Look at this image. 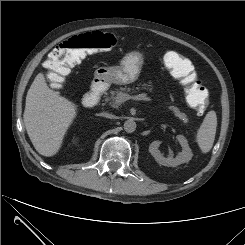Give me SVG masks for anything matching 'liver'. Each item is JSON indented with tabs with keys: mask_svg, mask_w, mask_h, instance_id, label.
Segmentation results:
<instances>
[{
	"mask_svg": "<svg viewBox=\"0 0 245 245\" xmlns=\"http://www.w3.org/2000/svg\"><path fill=\"white\" fill-rule=\"evenodd\" d=\"M76 110L77 105L49 88L43 73L35 77L27 92L23 120L39 154L50 157L58 152Z\"/></svg>",
	"mask_w": 245,
	"mask_h": 245,
	"instance_id": "6515ba94",
	"label": "liver"
}]
</instances>
